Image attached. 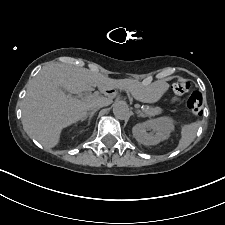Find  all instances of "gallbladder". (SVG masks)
Instances as JSON below:
<instances>
[{
	"instance_id": "1",
	"label": "gallbladder",
	"mask_w": 225,
	"mask_h": 225,
	"mask_svg": "<svg viewBox=\"0 0 225 225\" xmlns=\"http://www.w3.org/2000/svg\"><path fill=\"white\" fill-rule=\"evenodd\" d=\"M66 94H68L69 92L66 89L61 88Z\"/></svg>"
}]
</instances>
